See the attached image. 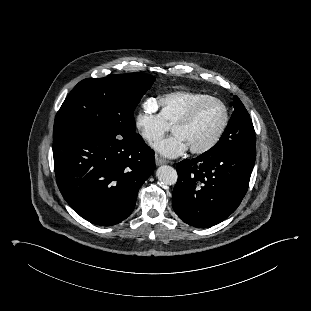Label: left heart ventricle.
I'll use <instances>...</instances> for the list:
<instances>
[{
    "mask_svg": "<svg viewBox=\"0 0 311 311\" xmlns=\"http://www.w3.org/2000/svg\"><path fill=\"white\" fill-rule=\"evenodd\" d=\"M223 117V107L217 102H208L197 111L187 125L175 129L173 133L181 136L189 149L199 148L212 140L222 124Z\"/></svg>",
    "mask_w": 311,
    "mask_h": 311,
    "instance_id": "left-heart-ventricle-1",
    "label": "left heart ventricle"
}]
</instances>
